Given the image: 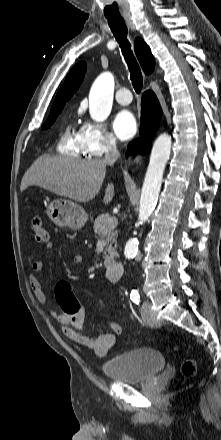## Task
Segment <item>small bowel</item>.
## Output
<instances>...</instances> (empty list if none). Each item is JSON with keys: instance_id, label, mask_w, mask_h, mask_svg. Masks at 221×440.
Returning <instances> with one entry per match:
<instances>
[{"instance_id": "small-bowel-1", "label": "small bowel", "mask_w": 221, "mask_h": 440, "mask_svg": "<svg viewBox=\"0 0 221 440\" xmlns=\"http://www.w3.org/2000/svg\"><path fill=\"white\" fill-rule=\"evenodd\" d=\"M53 243L48 244L47 249H52ZM83 261V255L79 252L73 254L72 262L75 265L81 264ZM43 269V262L41 260H35L32 262L29 274L30 287L39 303L46 305L47 296L43 291L42 285L37 277ZM82 304V303H81ZM82 311L85 313L83 316L79 312L76 319H71V315H61L60 311L52 310L51 316L55 318L61 325L62 331L66 337L77 342L81 346L93 351L98 356H105L116 342V336L109 331L101 332L98 336H92L86 334L83 331L84 323L87 316L85 306L82 304Z\"/></svg>"}]
</instances>
